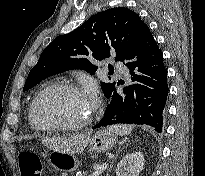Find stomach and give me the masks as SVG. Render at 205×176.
Returning a JSON list of instances; mask_svg holds the SVG:
<instances>
[{"mask_svg": "<svg viewBox=\"0 0 205 176\" xmlns=\"http://www.w3.org/2000/svg\"><path fill=\"white\" fill-rule=\"evenodd\" d=\"M89 142L93 152L104 153L113 149L117 143V137L109 129H103L97 131ZM48 161L55 169L63 172H73L79 166V161L74 154L57 150L50 153Z\"/></svg>", "mask_w": 205, "mask_h": 176, "instance_id": "obj_1", "label": "stomach"}]
</instances>
